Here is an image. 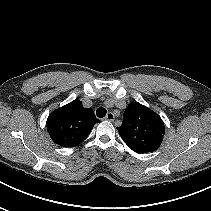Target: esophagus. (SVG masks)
<instances>
[{"label":"esophagus","instance_id":"1","mask_svg":"<svg viewBox=\"0 0 211 211\" xmlns=\"http://www.w3.org/2000/svg\"><path fill=\"white\" fill-rule=\"evenodd\" d=\"M114 119H115V116L112 112H109L105 117V120L107 121H114Z\"/></svg>","mask_w":211,"mask_h":211}]
</instances>
